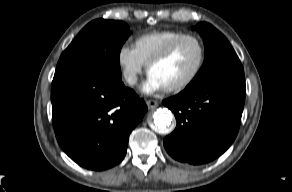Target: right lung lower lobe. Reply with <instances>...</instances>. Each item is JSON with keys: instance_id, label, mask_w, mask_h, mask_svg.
Returning <instances> with one entry per match:
<instances>
[{"instance_id": "98d812e1", "label": "right lung lower lobe", "mask_w": 292, "mask_h": 192, "mask_svg": "<svg viewBox=\"0 0 292 192\" xmlns=\"http://www.w3.org/2000/svg\"><path fill=\"white\" fill-rule=\"evenodd\" d=\"M51 101L59 145L91 170L108 169L125 157L129 135L147 111L121 79L76 66L56 68Z\"/></svg>"}]
</instances>
